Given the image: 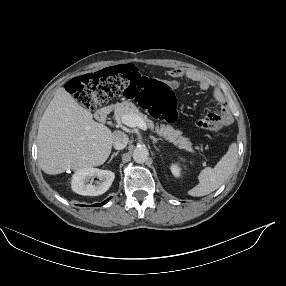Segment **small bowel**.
<instances>
[{
    "instance_id": "obj_1",
    "label": "small bowel",
    "mask_w": 286,
    "mask_h": 286,
    "mask_svg": "<svg viewBox=\"0 0 286 286\" xmlns=\"http://www.w3.org/2000/svg\"><path fill=\"white\" fill-rule=\"evenodd\" d=\"M168 76L170 78L168 83L173 88H177L179 86L180 79L186 78L197 83L199 88L202 90L213 89V105L217 108L220 120L224 123L229 122L231 116L227 102L222 93L214 87L213 83L206 76L198 73L197 71L187 70L184 68H173L168 71Z\"/></svg>"
}]
</instances>
